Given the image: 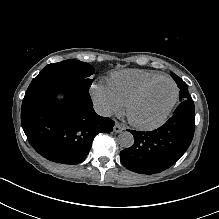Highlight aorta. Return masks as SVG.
Returning a JSON list of instances; mask_svg holds the SVG:
<instances>
[{
  "label": "aorta",
  "mask_w": 219,
  "mask_h": 219,
  "mask_svg": "<svg viewBox=\"0 0 219 219\" xmlns=\"http://www.w3.org/2000/svg\"><path fill=\"white\" fill-rule=\"evenodd\" d=\"M118 143L123 148H130L134 144V137L128 131H123L118 135Z\"/></svg>",
  "instance_id": "aorta-1"
}]
</instances>
